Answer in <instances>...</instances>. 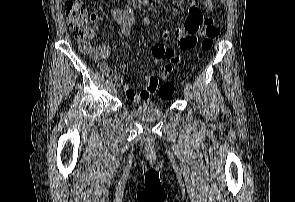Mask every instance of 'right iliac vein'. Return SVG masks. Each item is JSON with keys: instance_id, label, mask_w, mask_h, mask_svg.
<instances>
[{"instance_id": "1", "label": "right iliac vein", "mask_w": 295, "mask_h": 202, "mask_svg": "<svg viewBox=\"0 0 295 202\" xmlns=\"http://www.w3.org/2000/svg\"><path fill=\"white\" fill-rule=\"evenodd\" d=\"M108 89L114 91L115 90V86L113 84H109L108 85Z\"/></svg>"}]
</instances>
